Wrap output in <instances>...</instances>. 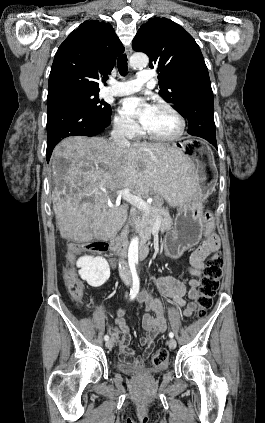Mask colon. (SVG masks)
<instances>
[{
  "mask_svg": "<svg viewBox=\"0 0 265 423\" xmlns=\"http://www.w3.org/2000/svg\"><path fill=\"white\" fill-rule=\"evenodd\" d=\"M212 230V216L211 214H207L205 233L211 234ZM84 247L91 252L103 253L108 250V243L106 241H94L85 244ZM223 267L224 262L219 255L215 254L209 258L204 270V278L201 281L200 294L197 297L198 308L196 315L198 318L205 317L207 311L212 307L213 298L219 289L220 280L223 275ZM64 281L66 288L74 298H80L82 296V283L72 269L65 272ZM168 356L169 352L166 348L157 349L150 358L151 366L163 365L167 361Z\"/></svg>",
  "mask_w": 265,
  "mask_h": 423,
  "instance_id": "5ec220e1",
  "label": "colon"
}]
</instances>
